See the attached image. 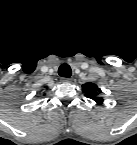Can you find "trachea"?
Returning <instances> with one entry per match:
<instances>
[{"label":"trachea","mask_w":137,"mask_h":145,"mask_svg":"<svg viewBox=\"0 0 137 145\" xmlns=\"http://www.w3.org/2000/svg\"><path fill=\"white\" fill-rule=\"evenodd\" d=\"M58 74L61 77L69 78L72 75L71 67L68 64H62L58 69Z\"/></svg>","instance_id":"obj_1"}]
</instances>
